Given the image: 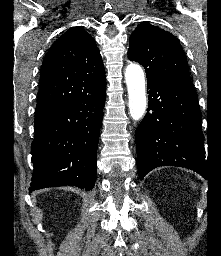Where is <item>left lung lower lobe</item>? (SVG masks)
<instances>
[{
  "label": "left lung lower lobe",
  "instance_id": "obj_1",
  "mask_svg": "<svg viewBox=\"0 0 221 256\" xmlns=\"http://www.w3.org/2000/svg\"><path fill=\"white\" fill-rule=\"evenodd\" d=\"M148 111L137 128L140 179L159 166H181L206 178L204 135L192 85L147 81Z\"/></svg>",
  "mask_w": 221,
  "mask_h": 256
}]
</instances>
